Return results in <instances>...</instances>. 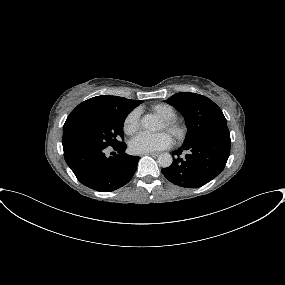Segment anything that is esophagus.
Masks as SVG:
<instances>
[{
    "label": "esophagus",
    "instance_id": "esophagus-1",
    "mask_svg": "<svg viewBox=\"0 0 285 285\" xmlns=\"http://www.w3.org/2000/svg\"><path fill=\"white\" fill-rule=\"evenodd\" d=\"M149 155L151 156H158L160 153L159 152H151V153H148Z\"/></svg>",
    "mask_w": 285,
    "mask_h": 285
}]
</instances>
